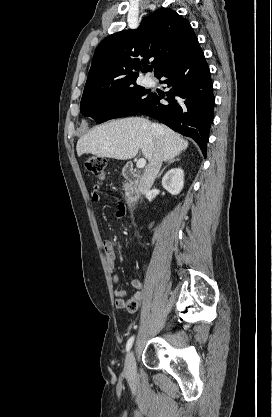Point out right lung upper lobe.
I'll list each match as a JSON object with an SVG mask.
<instances>
[{"label":"right lung upper lobe","instance_id":"1","mask_svg":"<svg viewBox=\"0 0 272 417\" xmlns=\"http://www.w3.org/2000/svg\"><path fill=\"white\" fill-rule=\"evenodd\" d=\"M198 40L189 22L171 9H159L137 30L106 37L96 48L83 94L112 92L136 85L138 70L154 66L157 77Z\"/></svg>","mask_w":272,"mask_h":417}]
</instances>
